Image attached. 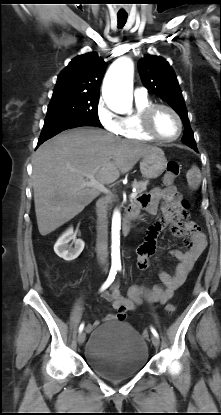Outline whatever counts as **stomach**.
Segmentation results:
<instances>
[{
    "label": "stomach",
    "mask_w": 221,
    "mask_h": 415,
    "mask_svg": "<svg viewBox=\"0 0 221 415\" xmlns=\"http://www.w3.org/2000/svg\"><path fill=\"white\" fill-rule=\"evenodd\" d=\"M166 166L167 159L161 149L148 153L140 161V171L147 179H156L161 176Z\"/></svg>",
    "instance_id": "0dacf381"
}]
</instances>
